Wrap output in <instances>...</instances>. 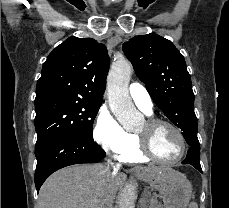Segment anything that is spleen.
Masks as SVG:
<instances>
[{
	"label": "spleen",
	"mask_w": 229,
	"mask_h": 208,
	"mask_svg": "<svg viewBox=\"0 0 229 208\" xmlns=\"http://www.w3.org/2000/svg\"><path fill=\"white\" fill-rule=\"evenodd\" d=\"M190 208H198L197 204H195V202H192Z\"/></svg>",
	"instance_id": "1"
}]
</instances>
